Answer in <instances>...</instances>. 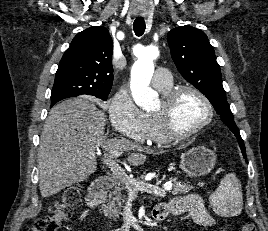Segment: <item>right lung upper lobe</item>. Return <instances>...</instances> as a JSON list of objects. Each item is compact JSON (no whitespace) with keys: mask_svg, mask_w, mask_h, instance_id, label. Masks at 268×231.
Returning <instances> with one entry per match:
<instances>
[{"mask_svg":"<svg viewBox=\"0 0 268 231\" xmlns=\"http://www.w3.org/2000/svg\"><path fill=\"white\" fill-rule=\"evenodd\" d=\"M113 41L105 27L93 26L78 33L65 51L55 75L53 88L66 94L56 102L81 94H109L113 83Z\"/></svg>","mask_w":268,"mask_h":231,"instance_id":"cb5924a9","label":"right lung upper lobe"}]
</instances>
